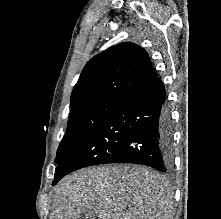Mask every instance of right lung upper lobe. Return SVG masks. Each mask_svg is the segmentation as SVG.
I'll list each match as a JSON object with an SVG mask.
<instances>
[{
  "label": "right lung upper lobe",
  "instance_id": "cb5924a9",
  "mask_svg": "<svg viewBox=\"0 0 221 219\" xmlns=\"http://www.w3.org/2000/svg\"><path fill=\"white\" fill-rule=\"evenodd\" d=\"M157 77L148 54L134 43L113 46L85 65L71 95V108L84 102L126 95Z\"/></svg>",
  "mask_w": 221,
  "mask_h": 219
}]
</instances>
